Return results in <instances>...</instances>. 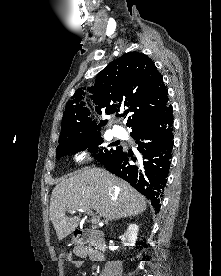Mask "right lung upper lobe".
Segmentation results:
<instances>
[{
	"mask_svg": "<svg viewBox=\"0 0 221 276\" xmlns=\"http://www.w3.org/2000/svg\"><path fill=\"white\" fill-rule=\"evenodd\" d=\"M89 91L99 114L104 111L109 115L118 112L121 106L127 107L124 113H130L127 126L131 128L157 117L169 106L162 75L152 60L139 52L126 53L109 63L97 74ZM82 99L83 89L79 88L67 103L59 142L99 129ZM106 123L107 120L101 121V126Z\"/></svg>",
	"mask_w": 221,
	"mask_h": 276,
	"instance_id": "cb5924a9",
	"label": "right lung upper lobe"
}]
</instances>
